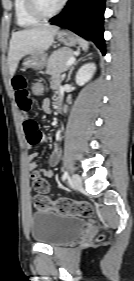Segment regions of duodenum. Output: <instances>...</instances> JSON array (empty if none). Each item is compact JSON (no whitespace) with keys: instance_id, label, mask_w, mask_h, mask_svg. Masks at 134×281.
Masks as SVG:
<instances>
[{"instance_id":"410a0bca","label":"duodenum","mask_w":134,"mask_h":281,"mask_svg":"<svg viewBox=\"0 0 134 281\" xmlns=\"http://www.w3.org/2000/svg\"><path fill=\"white\" fill-rule=\"evenodd\" d=\"M57 105H58V108H59V109H63V105H62V103H61V100H58Z\"/></svg>"}]
</instances>
